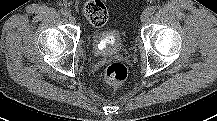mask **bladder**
I'll list each match as a JSON object with an SVG mask.
<instances>
[{
	"mask_svg": "<svg viewBox=\"0 0 217 121\" xmlns=\"http://www.w3.org/2000/svg\"><path fill=\"white\" fill-rule=\"evenodd\" d=\"M122 48L123 42L116 31H110L109 35L95 34L93 37V49L98 55L111 56Z\"/></svg>",
	"mask_w": 217,
	"mask_h": 121,
	"instance_id": "1",
	"label": "bladder"
}]
</instances>
